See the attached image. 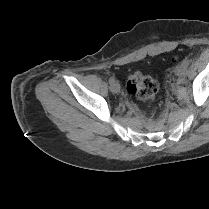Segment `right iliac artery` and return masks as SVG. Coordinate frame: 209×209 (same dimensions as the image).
<instances>
[{"instance_id":"obj_1","label":"right iliac artery","mask_w":209,"mask_h":209,"mask_svg":"<svg viewBox=\"0 0 209 209\" xmlns=\"http://www.w3.org/2000/svg\"><path fill=\"white\" fill-rule=\"evenodd\" d=\"M114 81H115L114 77H110V78H109V83H110V84L113 83Z\"/></svg>"}]
</instances>
